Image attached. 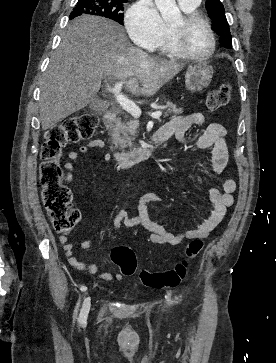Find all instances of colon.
Instances as JSON below:
<instances>
[{"instance_id": "obj_1", "label": "colon", "mask_w": 276, "mask_h": 363, "mask_svg": "<svg viewBox=\"0 0 276 363\" xmlns=\"http://www.w3.org/2000/svg\"><path fill=\"white\" fill-rule=\"evenodd\" d=\"M231 97V87L222 84L212 90L206 99V107L214 112L226 106ZM97 125V117L90 112L63 119L45 132V141L41 149L42 164L40 167V183L42 201L56 233L67 234L80 219V211L71 205L72 194L64 184L66 175L60 164L63 148L70 143L92 137ZM203 242L192 240L185 252V259L167 272H149L141 270L139 278L145 287L173 288L186 276L188 260L195 258L200 252ZM112 261L118 265L125 276L133 275L137 260L132 249L125 246L115 247L111 253Z\"/></svg>"}]
</instances>
